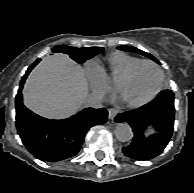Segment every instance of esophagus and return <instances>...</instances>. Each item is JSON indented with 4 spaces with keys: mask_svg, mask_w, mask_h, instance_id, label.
I'll return each instance as SVG.
<instances>
[{
    "mask_svg": "<svg viewBox=\"0 0 194 193\" xmlns=\"http://www.w3.org/2000/svg\"><path fill=\"white\" fill-rule=\"evenodd\" d=\"M117 114H118V109H116V108H110L108 110V118L109 119H114Z\"/></svg>",
    "mask_w": 194,
    "mask_h": 193,
    "instance_id": "34e87169",
    "label": "esophagus"
}]
</instances>
